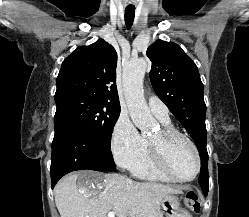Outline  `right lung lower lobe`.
<instances>
[{"label": "right lung lower lobe", "instance_id": "obj_1", "mask_svg": "<svg viewBox=\"0 0 249 217\" xmlns=\"http://www.w3.org/2000/svg\"><path fill=\"white\" fill-rule=\"evenodd\" d=\"M52 143V188L65 174L76 170L110 171L115 169L111 149L90 137L68 119L54 118Z\"/></svg>", "mask_w": 249, "mask_h": 217}]
</instances>
